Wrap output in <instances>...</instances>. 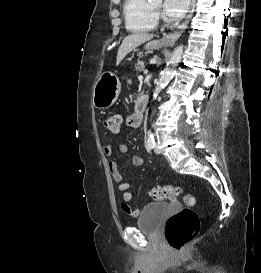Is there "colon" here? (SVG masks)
I'll use <instances>...</instances> for the list:
<instances>
[{
  "instance_id": "obj_1",
  "label": "colon",
  "mask_w": 261,
  "mask_h": 273,
  "mask_svg": "<svg viewBox=\"0 0 261 273\" xmlns=\"http://www.w3.org/2000/svg\"><path fill=\"white\" fill-rule=\"evenodd\" d=\"M104 124L111 131H118L121 125L120 115H109ZM183 193V189L177 185H165L151 191L154 200L162 201L171 199ZM196 202L192 194H184L185 208L172 215L165 227V238L168 245L177 252L184 248L197 236L200 227V217L190 207Z\"/></svg>"
}]
</instances>
